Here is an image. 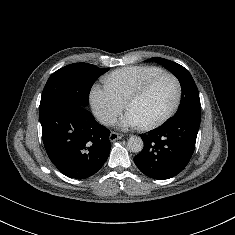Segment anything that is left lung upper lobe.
Masks as SVG:
<instances>
[{
  "label": "left lung upper lobe",
  "instance_id": "1",
  "mask_svg": "<svg viewBox=\"0 0 235 235\" xmlns=\"http://www.w3.org/2000/svg\"><path fill=\"white\" fill-rule=\"evenodd\" d=\"M153 60L162 64L170 72H172L181 84L182 100L179 111L173 118H178L188 114L201 116L199 92L189 71L180 64L170 60L159 57H154Z\"/></svg>",
  "mask_w": 235,
  "mask_h": 235
}]
</instances>
